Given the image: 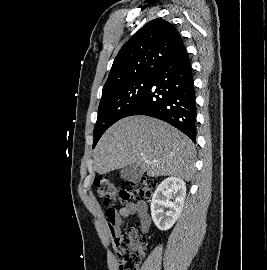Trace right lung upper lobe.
<instances>
[{
    "mask_svg": "<svg viewBox=\"0 0 267 270\" xmlns=\"http://www.w3.org/2000/svg\"><path fill=\"white\" fill-rule=\"evenodd\" d=\"M183 45L174 25L162 18L151 20L122 46L103 91L132 79L153 76Z\"/></svg>",
    "mask_w": 267,
    "mask_h": 270,
    "instance_id": "obj_1",
    "label": "right lung upper lobe"
}]
</instances>
